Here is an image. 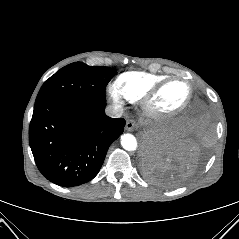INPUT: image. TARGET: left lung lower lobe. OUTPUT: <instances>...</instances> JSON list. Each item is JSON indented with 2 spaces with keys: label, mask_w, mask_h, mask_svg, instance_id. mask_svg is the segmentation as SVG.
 Segmentation results:
<instances>
[{
  "label": "left lung lower lobe",
  "mask_w": 239,
  "mask_h": 239,
  "mask_svg": "<svg viewBox=\"0 0 239 239\" xmlns=\"http://www.w3.org/2000/svg\"><path fill=\"white\" fill-rule=\"evenodd\" d=\"M212 133L207 111L192 105L171 128L145 142L144 175L165 187L182 184L205 162Z\"/></svg>",
  "instance_id": "left-lung-lower-lobe-1"
}]
</instances>
